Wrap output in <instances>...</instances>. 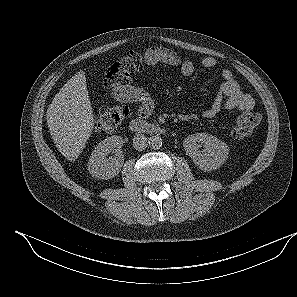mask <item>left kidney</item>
Instances as JSON below:
<instances>
[{
    "mask_svg": "<svg viewBox=\"0 0 297 297\" xmlns=\"http://www.w3.org/2000/svg\"><path fill=\"white\" fill-rule=\"evenodd\" d=\"M183 147L194 164L203 171L218 169L229 154V147L225 142L207 133L188 136L183 142ZM201 147L203 150H200Z\"/></svg>",
    "mask_w": 297,
    "mask_h": 297,
    "instance_id": "obj_1",
    "label": "left kidney"
}]
</instances>
